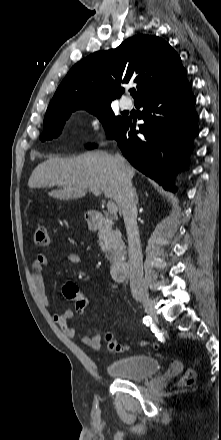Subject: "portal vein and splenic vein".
Segmentation results:
<instances>
[{
    "label": "portal vein and splenic vein",
    "mask_w": 221,
    "mask_h": 440,
    "mask_svg": "<svg viewBox=\"0 0 221 440\" xmlns=\"http://www.w3.org/2000/svg\"><path fill=\"white\" fill-rule=\"evenodd\" d=\"M96 196H99V195H101V192L100 191H98V190H96V189H92L91 190ZM107 209H108V212L110 213V214H112V215H116L117 214V206H116V204L112 201V200H110V201H108L107 202Z\"/></svg>",
    "instance_id": "obj_1"
}]
</instances>
